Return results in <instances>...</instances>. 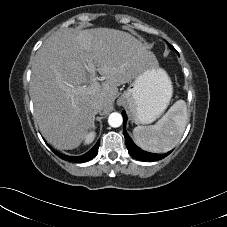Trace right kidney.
I'll use <instances>...</instances> for the list:
<instances>
[{
  "instance_id": "obj_1",
  "label": "right kidney",
  "mask_w": 227,
  "mask_h": 227,
  "mask_svg": "<svg viewBox=\"0 0 227 227\" xmlns=\"http://www.w3.org/2000/svg\"><path fill=\"white\" fill-rule=\"evenodd\" d=\"M96 136V133L94 131H91L87 133L84 137V143L86 145L91 144Z\"/></svg>"
}]
</instances>
